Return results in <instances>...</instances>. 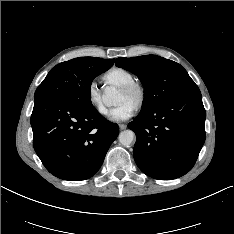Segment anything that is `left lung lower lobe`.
I'll list each match as a JSON object with an SVG mask.
<instances>
[{
	"label": "left lung lower lobe",
	"mask_w": 234,
	"mask_h": 234,
	"mask_svg": "<svg viewBox=\"0 0 234 234\" xmlns=\"http://www.w3.org/2000/svg\"><path fill=\"white\" fill-rule=\"evenodd\" d=\"M205 118L197 85L139 113L128 127L136 134L133 156L140 170L159 180L189 172L205 142Z\"/></svg>",
	"instance_id": "obj_1"
}]
</instances>
